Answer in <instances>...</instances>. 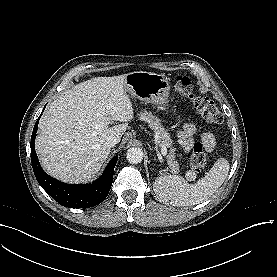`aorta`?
<instances>
[{
  "instance_id": "obj_1",
  "label": "aorta",
  "mask_w": 277,
  "mask_h": 277,
  "mask_svg": "<svg viewBox=\"0 0 277 277\" xmlns=\"http://www.w3.org/2000/svg\"><path fill=\"white\" fill-rule=\"evenodd\" d=\"M126 158L129 163L138 164L143 160V151L139 147L129 148L126 152Z\"/></svg>"
}]
</instances>
